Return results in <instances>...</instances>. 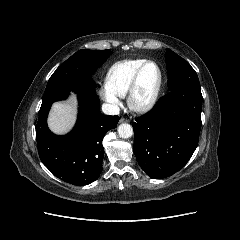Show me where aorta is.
Instances as JSON below:
<instances>
[{
	"label": "aorta",
	"mask_w": 240,
	"mask_h": 240,
	"mask_svg": "<svg viewBox=\"0 0 240 240\" xmlns=\"http://www.w3.org/2000/svg\"><path fill=\"white\" fill-rule=\"evenodd\" d=\"M117 131L119 136L123 139L130 138L133 135V128L127 123L120 124Z\"/></svg>",
	"instance_id": "762f6f07"
}]
</instances>
